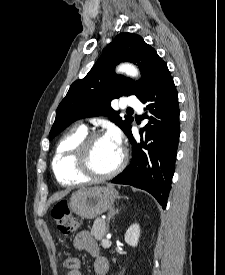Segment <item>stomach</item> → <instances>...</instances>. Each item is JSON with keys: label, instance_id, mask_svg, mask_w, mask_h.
I'll use <instances>...</instances> for the list:
<instances>
[{"label": "stomach", "instance_id": "1", "mask_svg": "<svg viewBox=\"0 0 225 275\" xmlns=\"http://www.w3.org/2000/svg\"><path fill=\"white\" fill-rule=\"evenodd\" d=\"M118 198L112 187L94 186L75 192L69 201V209L84 219H94L112 208Z\"/></svg>", "mask_w": 225, "mask_h": 275}]
</instances>
